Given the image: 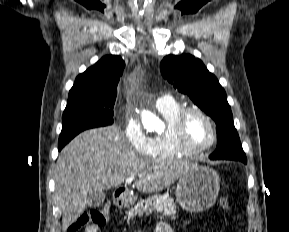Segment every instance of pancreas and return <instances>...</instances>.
Segmentation results:
<instances>
[{
  "instance_id": "cf45deb5",
  "label": "pancreas",
  "mask_w": 289,
  "mask_h": 232,
  "mask_svg": "<svg viewBox=\"0 0 289 232\" xmlns=\"http://www.w3.org/2000/svg\"><path fill=\"white\" fill-rule=\"evenodd\" d=\"M153 211L162 213L164 216H170L172 219L176 218V205L173 198L168 195H152L139 201L126 214L128 219H133L137 215H148Z\"/></svg>"
}]
</instances>
